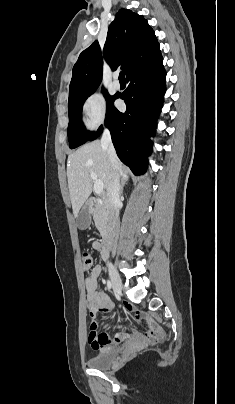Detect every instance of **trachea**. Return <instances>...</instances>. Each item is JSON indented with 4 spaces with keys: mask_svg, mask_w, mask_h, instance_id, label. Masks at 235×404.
<instances>
[{
    "mask_svg": "<svg viewBox=\"0 0 235 404\" xmlns=\"http://www.w3.org/2000/svg\"><path fill=\"white\" fill-rule=\"evenodd\" d=\"M119 80H120V81H125V73H124V71H121V72H120V74H119Z\"/></svg>",
    "mask_w": 235,
    "mask_h": 404,
    "instance_id": "1",
    "label": "trachea"
}]
</instances>
